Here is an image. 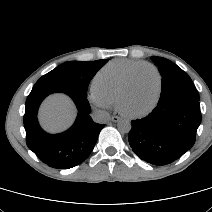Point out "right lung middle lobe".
Here are the masks:
<instances>
[{"label": "right lung middle lobe", "mask_w": 212, "mask_h": 212, "mask_svg": "<svg viewBox=\"0 0 212 212\" xmlns=\"http://www.w3.org/2000/svg\"><path fill=\"white\" fill-rule=\"evenodd\" d=\"M108 59L65 62L43 75L34 86L68 88L87 95L89 83Z\"/></svg>", "instance_id": "dd1d6c3e"}]
</instances>
